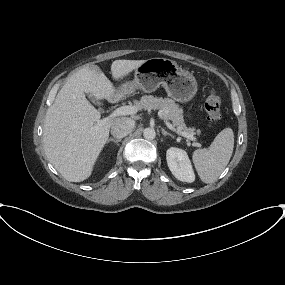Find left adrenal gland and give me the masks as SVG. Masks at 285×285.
<instances>
[{"label": "left adrenal gland", "instance_id": "a2214340", "mask_svg": "<svg viewBox=\"0 0 285 285\" xmlns=\"http://www.w3.org/2000/svg\"><path fill=\"white\" fill-rule=\"evenodd\" d=\"M162 134L164 136H170L171 138H174V136L172 134L168 133L165 129H162Z\"/></svg>", "mask_w": 285, "mask_h": 285}]
</instances>
